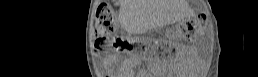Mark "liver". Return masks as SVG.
Returning a JSON list of instances; mask_svg holds the SVG:
<instances>
[{
    "mask_svg": "<svg viewBox=\"0 0 258 77\" xmlns=\"http://www.w3.org/2000/svg\"><path fill=\"white\" fill-rule=\"evenodd\" d=\"M140 3H142V1H139V0L121 1L122 16H123V21L125 23L129 20H137V19L146 20V13H145L144 7L141 6Z\"/></svg>",
    "mask_w": 258,
    "mask_h": 77,
    "instance_id": "obj_1",
    "label": "liver"
}]
</instances>
